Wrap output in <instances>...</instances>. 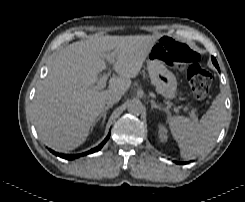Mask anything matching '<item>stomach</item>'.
Returning a JSON list of instances; mask_svg holds the SVG:
<instances>
[{"mask_svg":"<svg viewBox=\"0 0 245 202\" xmlns=\"http://www.w3.org/2000/svg\"><path fill=\"white\" fill-rule=\"evenodd\" d=\"M147 68L151 83L156 92L166 100H172L176 96L177 80L175 75L169 71L163 58L154 45L148 55Z\"/></svg>","mask_w":245,"mask_h":202,"instance_id":"stomach-1","label":"stomach"}]
</instances>
